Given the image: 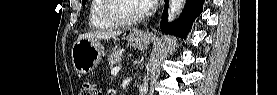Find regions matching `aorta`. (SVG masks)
Instances as JSON below:
<instances>
[{
  "label": "aorta",
  "instance_id": "762f6f07",
  "mask_svg": "<svg viewBox=\"0 0 277 95\" xmlns=\"http://www.w3.org/2000/svg\"><path fill=\"white\" fill-rule=\"evenodd\" d=\"M184 0H170L169 1V9H168V20L169 22L173 21L177 15L179 14L182 6H183ZM143 84L140 86V94L146 95L148 92V75L144 77Z\"/></svg>",
  "mask_w": 277,
  "mask_h": 95
}]
</instances>
